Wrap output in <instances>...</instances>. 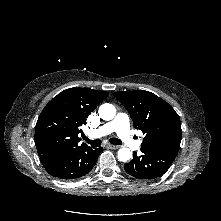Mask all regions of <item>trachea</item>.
Masks as SVG:
<instances>
[{
  "mask_svg": "<svg viewBox=\"0 0 221 221\" xmlns=\"http://www.w3.org/2000/svg\"><path fill=\"white\" fill-rule=\"evenodd\" d=\"M83 139L89 143L91 146H94V147H98L100 146L101 144V140L100 139H95V140H90L88 139L85 135H83ZM110 143L113 144V145H120L122 144L121 140L117 139V138H111L110 140Z\"/></svg>",
  "mask_w": 221,
  "mask_h": 221,
  "instance_id": "obj_1",
  "label": "trachea"
}]
</instances>
